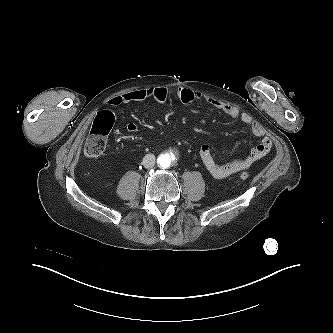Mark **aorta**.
<instances>
[{"mask_svg": "<svg viewBox=\"0 0 333 333\" xmlns=\"http://www.w3.org/2000/svg\"><path fill=\"white\" fill-rule=\"evenodd\" d=\"M158 163L162 168H168L171 165V158L168 154H161L158 157Z\"/></svg>", "mask_w": 333, "mask_h": 333, "instance_id": "aorta-1", "label": "aorta"}]
</instances>
